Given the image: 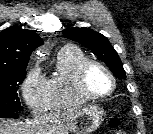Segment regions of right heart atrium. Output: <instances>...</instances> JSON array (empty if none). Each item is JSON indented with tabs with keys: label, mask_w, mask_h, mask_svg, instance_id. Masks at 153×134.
Wrapping results in <instances>:
<instances>
[{
	"label": "right heart atrium",
	"mask_w": 153,
	"mask_h": 134,
	"mask_svg": "<svg viewBox=\"0 0 153 134\" xmlns=\"http://www.w3.org/2000/svg\"><path fill=\"white\" fill-rule=\"evenodd\" d=\"M21 93L32 112L40 113L48 108L46 80L37 66L28 70L21 84Z\"/></svg>",
	"instance_id": "d8ad5b80"
}]
</instances>
